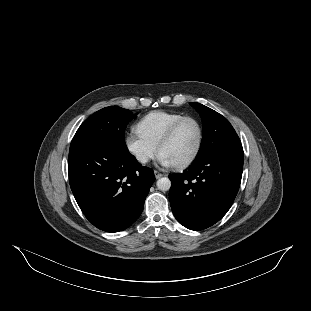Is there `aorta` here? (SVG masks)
<instances>
[{"mask_svg":"<svg viewBox=\"0 0 311 311\" xmlns=\"http://www.w3.org/2000/svg\"><path fill=\"white\" fill-rule=\"evenodd\" d=\"M156 186L161 191H168L171 188V181L168 177H161L157 180Z\"/></svg>","mask_w":311,"mask_h":311,"instance_id":"aorta-1","label":"aorta"}]
</instances>
